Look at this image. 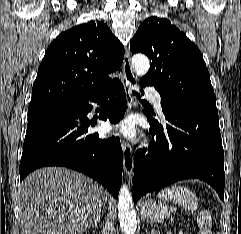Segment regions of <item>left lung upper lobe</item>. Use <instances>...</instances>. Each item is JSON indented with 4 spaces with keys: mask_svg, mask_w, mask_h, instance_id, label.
Wrapping results in <instances>:
<instances>
[{
    "mask_svg": "<svg viewBox=\"0 0 241 234\" xmlns=\"http://www.w3.org/2000/svg\"><path fill=\"white\" fill-rule=\"evenodd\" d=\"M130 49L150 58V69L140 82L154 86L162 100L218 114L201 52L169 20L156 16L145 19Z\"/></svg>",
    "mask_w": 241,
    "mask_h": 234,
    "instance_id": "left-lung-upper-lobe-1",
    "label": "left lung upper lobe"
}]
</instances>
